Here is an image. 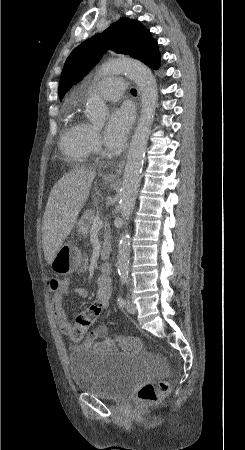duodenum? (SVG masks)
Here are the masks:
<instances>
[{"instance_id":"410a0bca","label":"duodenum","mask_w":245,"mask_h":450,"mask_svg":"<svg viewBox=\"0 0 245 450\" xmlns=\"http://www.w3.org/2000/svg\"><path fill=\"white\" fill-rule=\"evenodd\" d=\"M100 271L103 274L109 275L112 272V263L106 262V263L102 264Z\"/></svg>"}]
</instances>
